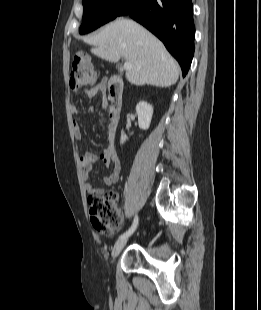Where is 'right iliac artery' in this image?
<instances>
[{
    "mask_svg": "<svg viewBox=\"0 0 261 310\" xmlns=\"http://www.w3.org/2000/svg\"><path fill=\"white\" fill-rule=\"evenodd\" d=\"M137 225H138V217L136 215L134 220H133V223H132L131 227L125 233L120 235L119 238L121 239V238H125V237L130 236L136 230Z\"/></svg>",
    "mask_w": 261,
    "mask_h": 310,
    "instance_id": "1",
    "label": "right iliac artery"
}]
</instances>
